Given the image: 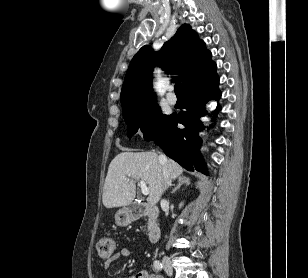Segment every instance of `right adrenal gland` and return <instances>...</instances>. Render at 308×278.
<instances>
[{"mask_svg": "<svg viewBox=\"0 0 308 278\" xmlns=\"http://www.w3.org/2000/svg\"><path fill=\"white\" fill-rule=\"evenodd\" d=\"M190 184V179L188 177L185 176H179L178 177V183L176 185V187L172 190V194L175 193L178 189H180L181 186L183 185H189Z\"/></svg>", "mask_w": 308, "mask_h": 278, "instance_id": "1", "label": "right adrenal gland"}]
</instances>
